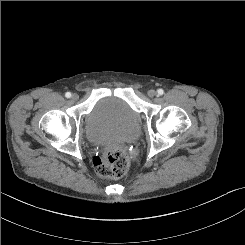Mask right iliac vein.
<instances>
[{"label": "right iliac vein", "mask_w": 245, "mask_h": 245, "mask_svg": "<svg viewBox=\"0 0 245 245\" xmlns=\"http://www.w3.org/2000/svg\"><path fill=\"white\" fill-rule=\"evenodd\" d=\"M72 100L76 101L79 99V95L74 93L72 96H71Z\"/></svg>", "instance_id": "right-iliac-vein-1"}]
</instances>
